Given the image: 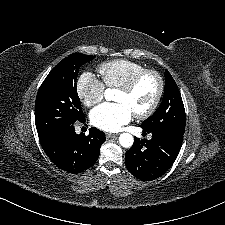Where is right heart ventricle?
Instances as JSON below:
<instances>
[{"label":"right heart ventricle","instance_id":"right-heart-ventricle-1","mask_svg":"<svg viewBox=\"0 0 225 225\" xmlns=\"http://www.w3.org/2000/svg\"><path fill=\"white\" fill-rule=\"evenodd\" d=\"M98 69L106 86L120 88L145 67L130 60L117 59L100 64Z\"/></svg>","mask_w":225,"mask_h":225}]
</instances>
